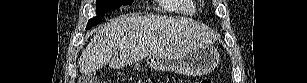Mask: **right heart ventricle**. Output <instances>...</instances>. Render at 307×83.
<instances>
[{"label": "right heart ventricle", "instance_id": "e07e8e85", "mask_svg": "<svg viewBox=\"0 0 307 83\" xmlns=\"http://www.w3.org/2000/svg\"><path fill=\"white\" fill-rule=\"evenodd\" d=\"M163 8L168 11L190 14L194 11L193 6L186 0H166L163 1Z\"/></svg>", "mask_w": 307, "mask_h": 83}]
</instances>
